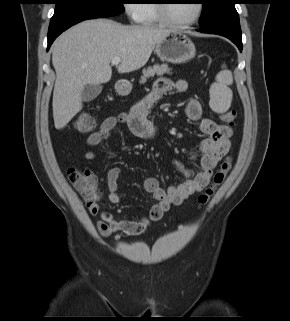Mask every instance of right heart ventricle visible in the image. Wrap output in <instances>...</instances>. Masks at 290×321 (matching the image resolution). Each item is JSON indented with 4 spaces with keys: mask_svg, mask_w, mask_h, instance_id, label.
I'll return each instance as SVG.
<instances>
[{
    "mask_svg": "<svg viewBox=\"0 0 290 321\" xmlns=\"http://www.w3.org/2000/svg\"><path fill=\"white\" fill-rule=\"evenodd\" d=\"M143 3L138 5L139 9V18L138 22L143 25H157L160 24L162 21L159 18L155 2L156 0H141Z\"/></svg>",
    "mask_w": 290,
    "mask_h": 321,
    "instance_id": "e07e8e85",
    "label": "right heart ventricle"
}]
</instances>
